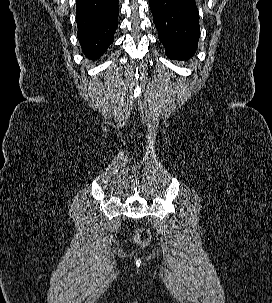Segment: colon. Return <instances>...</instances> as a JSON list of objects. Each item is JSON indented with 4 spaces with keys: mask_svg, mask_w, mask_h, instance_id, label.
I'll return each instance as SVG.
<instances>
[{
    "mask_svg": "<svg viewBox=\"0 0 272 303\" xmlns=\"http://www.w3.org/2000/svg\"><path fill=\"white\" fill-rule=\"evenodd\" d=\"M134 239L139 245L146 246L150 241V233L145 228H137L134 232Z\"/></svg>",
    "mask_w": 272,
    "mask_h": 303,
    "instance_id": "5ec220e1",
    "label": "colon"
}]
</instances>
